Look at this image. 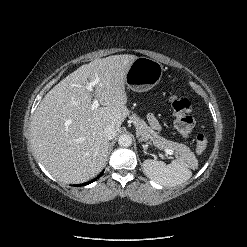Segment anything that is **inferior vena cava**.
Listing matches in <instances>:
<instances>
[{
  "label": "inferior vena cava",
  "mask_w": 247,
  "mask_h": 247,
  "mask_svg": "<svg viewBox=\"0 0 247 247\" xmlns=\"http://www.w3.org/2000/svg\"><path fill=\"white\" fill-rule=\"evenodd\" d=\"M104 135L108 140H112L116 136V130L112 126H107L104 129Z\"/></svg>",
  "instance_id": "obj_1"
}]
</instances>
